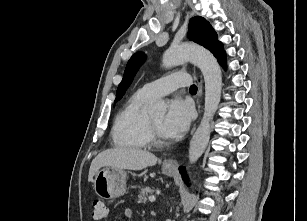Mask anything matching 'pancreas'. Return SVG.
<instances>
[{
	"instance_id": "cf45deb5",
	"label": "pancreas",
	"mask_w": 307,
	"mask_h": 221,
	"mask_svg": "<svg viewBox=\"0 0 307 221\" xmlns=\"http://www.w3.org/2000/svg\"><path fill=\"white\" fill-rule=\"evenodd\" d=\"M153 190L150 187L142 188L138 194V202H146L148 194H152Z\"/></svg>"
}]
</instances>
